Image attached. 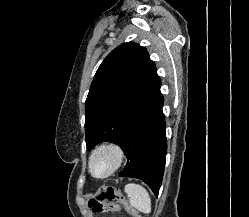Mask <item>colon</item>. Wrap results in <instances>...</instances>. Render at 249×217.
I'll return each instance as SVG.
<instances>
[{
	"instance_id": "1",
	"label": "colon",
	"mask_w": 249,
	"mask_h": 217,
	"mask_svg": "<svg viewBox=\"0 0 249 217\" xmlns=\"http://www.w3.org/2000/svg\"><path fill=\"white\" fill-rule=\"evenodd\" d=\"M122 206L132 217H142L129 205L124 195L112 186L104 188L89 200V207L94 212H121Z\"/></svg>"
}]
</instances>
